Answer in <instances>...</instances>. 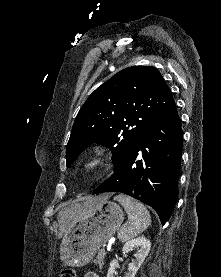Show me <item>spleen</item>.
<instances>
[{"label": "spleen", "mask_w": 221, "mask_h": 277, "mask_svg": "<svg viewBox=\"0 0 221 277\" xmlns=\"http://www.w3.org/2000/svg\"><path fill=\"white\" fill-rule=\"evenodd\" d=\"M114 199L124 207L128 214V222L118 232L120 241L126 242L149 227L151 224V216L142 203L123 194L115 196Z\"/></svg>", "instance_id": "obj_1"}]
</instances>
